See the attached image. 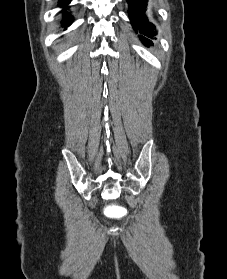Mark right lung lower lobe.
<instances>
[{
	"instance_id": "obj_1",
	"label": "right lung lower lobe",
	"mask_w": 227,
	"mask_h": 279,
	"mask_svg": "<svg viewBox=\"0 0 227 279\" xmlns=\"http://www.w3.org/2000/svg\"><path fill=\"white\" fill-rule=\"evenodd\" d=\"M70 3V0H59L58 6L60 7H66V10L69 8L67 5ZM64 19L61 21V24L65 26V29L67 26H69L72 22V17L71 15L64 14Z\"/></svg>"
}]
</instances>
